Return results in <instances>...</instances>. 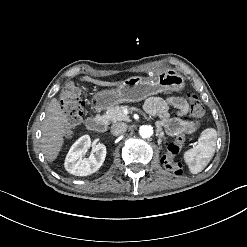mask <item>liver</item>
Listing matches in <instances>:
<instances>
[{
  "label": "liver",
  "mask_w": 247,
  "mask_h": 247,
  "mask_svg": "<svg viewBox=\"0 0 247 247\" xmlns=\"http://www.w3.org/2000/svg\"><path fill=\"white\" fill-rule=\"evenodd\" d=\"M83 81L92 82L101 86H116L119 82H105L92 79L89 76L81 78ZM66 116L64 115L60 103L53 98L46 110V118L42 125V152L48 162H52L58 156L64 142Z\"/></svg>",
  "instance_id": "obj_1"
}]
</instances>
